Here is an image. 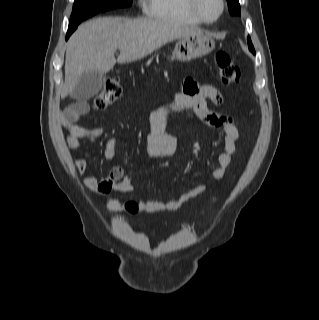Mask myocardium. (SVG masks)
<instances>
[{"label": "myocardium", "mask_w": 319, "mask_h": 320, "mask_svg": "<svg viewBox=\"0 0 319 320\" xmlns=\"http://www.w3.org/2000/svg\"><path fill=\"white\" fill-rule=\"evenodd\" d=\"M188 1V8L193 15L195 19H197L199 22L204 24H213L221 19L223 16L225 9H226V3L225 0H219L220 2V10L218 15L213 19H208L204 16V14L199 9V0H187Z\"/></svg>", "instance_id": "obj_1"}]
</instances>
